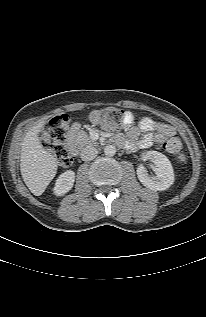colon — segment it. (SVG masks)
<instances>
[{
    "label": "colon",
    "mask_w": 206,
    "mask_h": 317,
    "mask_svg": "<svg viewBox=\"0 0 206 317\" xmlns=\"http://www.w3.org/2000/svg\"><path fill=\"white\" fill-rule=\"evenodd\" d=\"M124 117V111L119 108L109 107L92 111L89 115V120L92 124L105 129L118 130L124 125ZM69 122L68 115H59L51 120L40 134L43 146L56 155L61 167H69L72 164L70 152L65 145V132ZM161 147L168 152L183 157L182 146L175 133L167 136L161 142Z\"/></svg>",
    "instance_id": "5ec220e1"
}]
</instances>
